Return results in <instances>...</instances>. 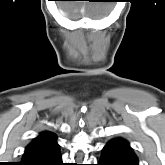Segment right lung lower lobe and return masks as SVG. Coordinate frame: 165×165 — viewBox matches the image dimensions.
Instances as JSON below:
<instances>
[{"mask_svg": "<svg viewBox=\"0 0 165 165\" xmlns=\"http://www.w3.org/2000/svg\"><path fill=\"white\" fill-rule=\"evenodd\" d=\"M20 165H64L56 136L50 134L28 145Z\"/></svg>", "mask_w": 165, "mask_h": 165, "instance_id": "obj_1", "label": "right lung lower lobe"}]
</instances>
